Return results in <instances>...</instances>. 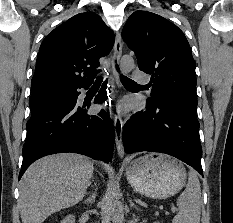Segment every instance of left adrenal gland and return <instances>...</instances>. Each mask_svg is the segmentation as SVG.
<instances>
[{
    "instance_id": "a2214340",
    "label": "left adrenal gland",
    "mask_w": 233,
    "mask_h": 223,
    "mask_svg": "<svg viewBox=\"0 0 233 223\" xmlns=\"http://www.w3.org/2000/svg\"><path fill=\"white\" fill-rule=\"evenodd\" d=\"M129 203H130V207H135V209H139V207H137V205H135V203H134V201H132V199H130Z\"/></svg>"
}]
</instances>
